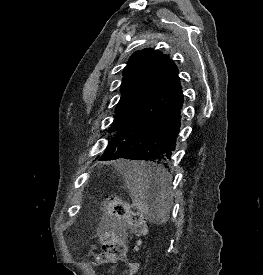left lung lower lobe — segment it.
<instances>
[{
  "label": "left lung lower lobe",
  "instance_id": "0a47b994",
  "mask_svg": "<svg viewBox=\"0 0 263 275\" xmlns=\"http://www.w3.org/2000/svg\"><path fill=\"white\" fill-rule=\"evenodd\" d=\"M183 102L178 68L173 62L115 132L99 160H144L167 167L175 150Z\"/></svg>",
  "mask_w": 263,
  "mask_h": 275
}]
</instances>
